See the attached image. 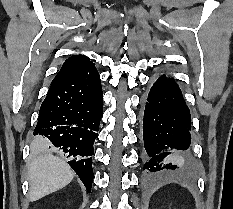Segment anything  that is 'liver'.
Here are the masks:
<instances>
[{
    "label": "liver",
    "mask_w": 233,
    "mask_h": 209,
    "mask_svg": "<svg viewBox=\"0 0 233 209\" xmlns=\"http://www.w3.org/2000/svg\"><path fill=\"white\" fill-rule=\"evenodd\" d=\"M74 176L73 170L60 158L50 153L39 154L29 165V200L34 202L62 189Z\"/></svg>",
    "instance_id": "1"
}]
</instances>
